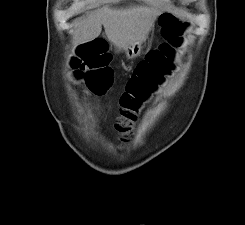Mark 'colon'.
Returning a JSON list of instances; mask_svg holds the SVG:
<instances>
[{"instance_id":"5ec220e1","label":"colon","mask_w":245,"mask_h":225,"mask_svg":"<svg viewBox=\"0 0 245 225\" xmlns=\"http://www.w3.org/2000/svg\"><path fill=\"white\" fill-rule=\"evenodd\" d=\"M159 22L165 42L159 46V49L150 52L146 58L135 65L127 81L126 89L121 95L123 107L116 120L115 128L121 134L122 141H128L134 134L141 110L156 85L167 73L161 55L171 52L174 46L181 43L183 26L178 17L169 12H162ZM110 60V53L103 41L88 40L81 45L71 66L78 69L84 65L83 70L91 93L104 95L114 81V71Z\"/></svg>"}]
</instances>
